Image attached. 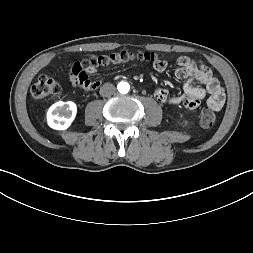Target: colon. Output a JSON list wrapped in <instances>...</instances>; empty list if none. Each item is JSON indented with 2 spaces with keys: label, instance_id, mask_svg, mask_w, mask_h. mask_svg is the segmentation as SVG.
<instances>
[{
  "label": "colon",
  "instance_id": "colon-1",
  "mask_svg": "<svg viewBox=\"0 0 253 253\" xmlns=\"http://www.w3.org/2000/svg\"><path fill=\"white\" fill-rule=\"evenodd\" d=\"M135 60L147 62L160 60L164 62L162 56L153 52L133 53L122 51L118 53L95 55L86 60L75 62L71 66V70L68 73V80L71 82L70 88L73 91L85 89L97 90L100 87V80L94 74L99 68ZM60 92L61 87L59 83L44 74L38 76L31 87V95L37 100L57 96ZM200 120L204 127L210 128L216 124L218 115L212 107H205L201 112Z\"/></svg>",
  "mask_w": 253,
  "mask_h": 253
}]
</instances>
